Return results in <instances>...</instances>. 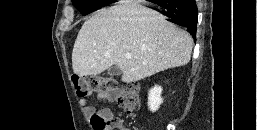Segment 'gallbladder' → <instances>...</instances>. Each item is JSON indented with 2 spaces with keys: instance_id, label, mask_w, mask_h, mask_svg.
<instances>
[{
  "instance_id": "gallbladder-1",
  "label": "gallbladder",
  "mask_w": 257,
  "mask_h": 130,
  "mask_svg": "<svg viewBox=\"0 0 257 130\" xmlns=\"http://www.w3.org/2000/svg\"><path fill=\"white\" fill-rule=\"evenodd\" d=\"M121 73H122L121 69L116 65L111 66L107 71V74L110 76H119L121 75Z\"/></svg>"
}]
</instances>
